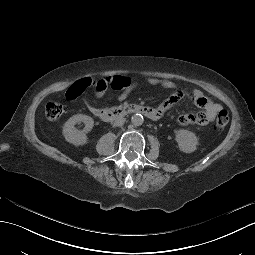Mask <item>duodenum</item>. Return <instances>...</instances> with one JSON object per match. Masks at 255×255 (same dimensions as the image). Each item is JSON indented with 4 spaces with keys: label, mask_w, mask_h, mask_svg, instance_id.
<instances>
[{
    "label": "duodenum",
    "mask_w": 255,
    "mask_h": 255,
    "mask_svg": "<svg viewBox=\"0 0 255 255\" xmlns=\"http://www.w3.org/2000/svg\"><path fill=\"white\" fill-rule=\"evenodd\" d=\"M92 113L104 121H114L135 113L142 114L151 120H158L160 118L155 108L138 104H128L104 109L95 108Z\"/></svg>",
    "instance_id": "duodenum-1"
}]
</instances>
